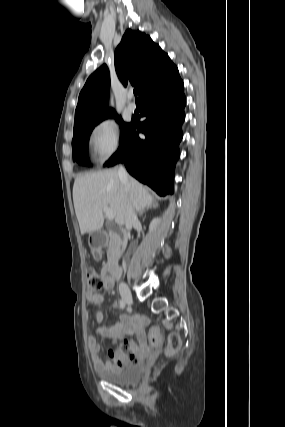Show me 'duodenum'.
I'll return each mask as SVG.
<instances>
[{"instance_id": "1", "label": "duodenum", "mask_w": 285, "mask_h": 427, "mask_svg": "<svg viewBox=\"0 0 285 427\" xmlns=\"http://www.w3.org/2000/svg\"><path fill=\"white\" fill-rule=\"evenodd\" d=\"M122 241H126V236H121ZM120 275V266L116 257H111L108 264L103 268V276L106 282H112Z\"/></svg>"}]
</instances>
